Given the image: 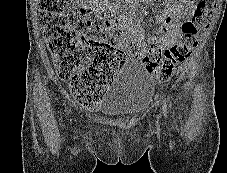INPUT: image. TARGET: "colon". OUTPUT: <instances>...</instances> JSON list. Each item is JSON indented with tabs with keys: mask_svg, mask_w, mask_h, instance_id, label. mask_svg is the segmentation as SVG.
Masks as SVG:
<instances>
[{
	"mask_svg": "<svg viewBox=\"0 0 227 173\" xmlns=\"http://www.w3.org/2000/svg\"><path fill=\"white\" fill-rule=\"evenodd\" d=\"M74 0H38L40 21L58 76L70 82L73 97L82 105L96 106L107 84L123 63V55L111 44L117 20L111 14L97 16L88 7H74ZM215 0H199L192 20L181 26L173 45H150L145 51L132 42L129 52L141 56L147 70L166 82L198 44V35L214 15Z\"/></svg>",
	"mask_w": 227,
	"mask_h": 173,
	"instance_id": "5ec220e1",
	"label": "colon"
}]
</instances>
